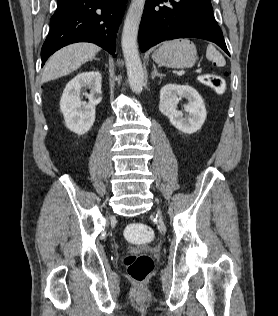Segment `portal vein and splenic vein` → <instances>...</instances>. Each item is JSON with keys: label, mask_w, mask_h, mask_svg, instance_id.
Wrapping results in <instances>:
<instances>
[{"label": "portal vein and splenic vein", "mask_w": 278, "mask_h": 316, "mask_svg": "<svg viewBox=\"0 0 278 316\" xmlns=\"http://www.w3.org/2000/svg\"><path fill=\"white\" fill-rule=\"evenodd\" d=\"M184 74H185V70H180V71L177 72V75H178V76H182V75H184Z\"/></svg>", "instance_id": "obj_1"}]
</instances>
